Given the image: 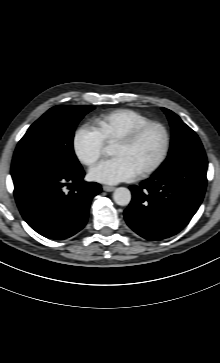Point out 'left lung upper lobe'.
<instances>
[{
  "instance_id": "5c2ea615",
  "label": "left lung upper lobe",
  "mask_w": 220,
  "mask_h": 363,
  "mask_svg": "<svg viewBox=\"0 0 220 363\" xmlns=\"http://www.w3.org/2000/svg\"><path fill=\"white\" fill-rule=\"evenodd\" d=\"M171 128V147L167 159L158 170L169 168L188 157H206L203 146L196 133L172 111L162 108Z\"/></svg>"
}]
</instances>
